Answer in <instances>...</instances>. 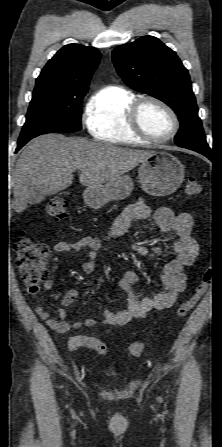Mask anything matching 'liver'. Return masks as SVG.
<instances>
[{"label":"liver","mask_w":222,"mask_h":447,"mask_svg":"<svg viewBox=\"0 0 222 447\" xmlns=\"http://www.w3.org/2000/svg\"><path fill=\"white\" fill-rule=\"evenodd\" d=\"M154 153L95 143L80 137L46 134L27 144L15 168L14 209L23 212L35 190L54 195L73 183L79 170L83 186H100L129 172Z\"/></svg>","instance_id":"liver-1"}]
</instances>
